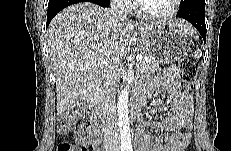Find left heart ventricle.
I'll return each instance as SVG.
<instances>
[{
  "mask_svg": "<svg viewBox=\"0 0 231 151\" xmlns=\"http://www.w3.org/2000/svg\"><path fill=\"white\" fill-rule=\"evenodd\" d=\"M142 9L150 14H163L172 7V0H141Z\"/></svg>",
  "mask_w": 231,
  "mask_h": 151,
  "instance_id": "1",
  "label": "left heart ventricle"
}]
</instances>
